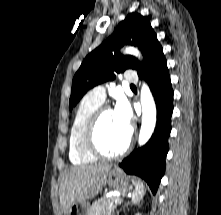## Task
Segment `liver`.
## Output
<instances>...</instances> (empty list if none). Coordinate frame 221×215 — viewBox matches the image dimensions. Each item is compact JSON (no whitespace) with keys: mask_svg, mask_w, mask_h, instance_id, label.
I'll return each instance as SVG.
<instances>
[{"mask_svg":"<svg viewBox=\"0 0 221 215\" xmlns=\"http://www.w3.org/2000/svg\"><path fill=\"white\" fill-rule=\"evenodd\" d=\"M110 170L111 165L99 164L76 166L65 171L59 188L61 211L96 196L105 186Z\"/></svg>","mask_w":221,"mask_h":215,"instance_id":"obj_1","label":"liver"}]
</instances>
